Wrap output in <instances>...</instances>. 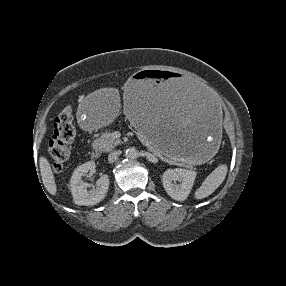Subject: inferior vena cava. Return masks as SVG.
I'll use <instances>...</instances> for the list:
<instances>
[{"label":"inferior vena cava","mask_w":286,"mask_h":286,"mask_svg":"<svg viewBox=\"0 0 286 286\" xmlns=\"http://www.w3.org/2000/svg\"><path fill=\"white\" fill-rule=\"evenodd\" d=\"M120 154H121V151H119V150L111 152V153L108 155V161H109L110 163L115 162V161L118 159V157H119Z\"/></svg>","instance_id":"1"}]
</instances>
